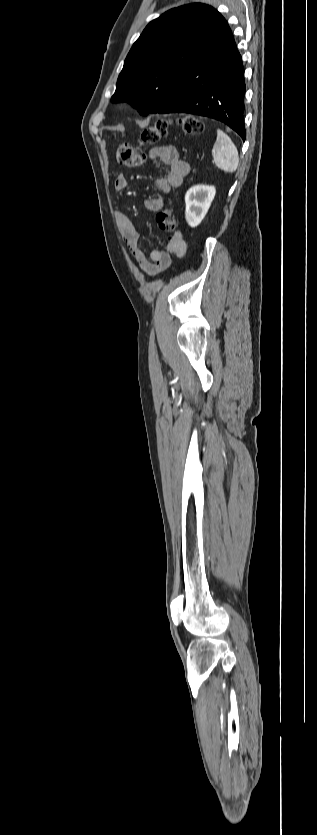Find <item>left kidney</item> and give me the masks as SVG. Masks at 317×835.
<instances>
[{
	"mask_svg": "<svg viewBox=\"0 0 317 835\" xmlns=\"http://www.w3.org/2000/svg\"><path fill=\"white\" fill-rule=\"evenodd\" d=\"M214 186L196 185L191 187L185 195V217L191 227L201 223L214 199Z\"/></svg>",
	"mask_w": 317,
	"mask_h": 835,
	"instance_id": "1",
	"label": "left kidney"
}]
</instances>
